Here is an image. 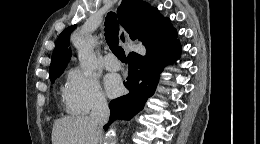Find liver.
Listing matches in <instances>:
<instances>
[{"mask_svg":"<svg viewBox=\"0 0 260 144\" xmlns=\"http://www.w3.org/2000/svg\"><path fill=\"white\" fill-rule=\"evenodd\" d=\"M99 132L88 116L64 117L55 121L52 144H97Z\"/></svg>","mask_w":260,"mask_h":144,"instance_id":"obj_1","label":"liver"}]
</instances>
